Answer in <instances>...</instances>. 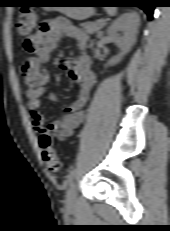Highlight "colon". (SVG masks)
Listing matches in <instances>:
<instances>
[{
    "label": "colon",
    "mask_w": 170,
    "mask_h": 231,
    "mask_svg": "<svg viewBox=\"0 0 170 231\" xmlns=\"http://www.w3.org/2000/svg\"><path fill=\"white\" fill-rule=\"evenodd\" d=\"M36 26V15L30 8H22L17 16L16 29L21 36V49L26 53H33L38 47V38L32 32ZM39 148L42 159L52 173H59L62 169L61 161L55 151L50 135L43 133L39 137Z\"/></svg>",
    "instance_id": "colon-1"
}]
</instances>
